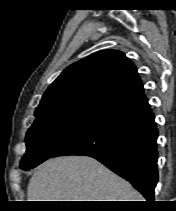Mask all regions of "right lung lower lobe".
Returning a JSON list of instances; mask_svg holds the SVG:
<instances>
[{"label": "right lung lower lobe", "mask_w": 176, "mask_h": 211, "mask_svg": "<svg viewBox=\"0 0 176 211\" xmlns=\"http://www.w3.org/2000/svg\"><path fill=\"white\" fill-rule=\"evenodd\" d=\"M158 130L149 104L110 115L52 157L91 156L129 181L149 202L154 201Z\"/></svg>", "instance_id": "1"}]
</instances>
